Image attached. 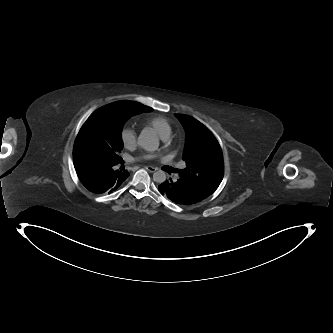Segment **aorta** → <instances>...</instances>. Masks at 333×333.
<instances>
[{"instance_id": "1", "label": "aorta", "mask_w": 333, "mask_h": 333, "mask_svg": "<svg viewBox=\"0 0 333 333\" xmlns=\"http://www.w3.org/2000/svg\"><path fill=\"white\" fill-rule=\"evenodd\" d=\"M138 144L147 151H155L159 146V138L157 134L150 130H144L138 137ZM167 175L163 170L154 172L153 179L157 183H162L166 180Z\"/></svg>"}]
</instances>
